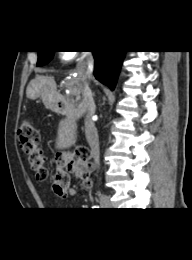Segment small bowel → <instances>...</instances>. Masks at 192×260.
I'll use <instances>...</instances> for the list:
<instances>
[{"instance_id": "1", "label": "small bowel", "mask_w": 192, "mask_h": 260, "mask_svg": "<svg viewBox=\"0 0 192 260\" xmlns=\"http://www.w3.org/2000/svg\"><path fill=\"white\" fill-rule=\"evenodd\" d=\"M69 195L70 196H75L76 195V191L73 190V189L69 190Z\"/></svg>"}]
</instances>
